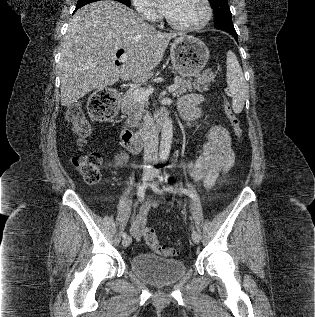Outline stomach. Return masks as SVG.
I'll return each mask as SVG.
<instances>
[{
	"label": "stomach",
	"mask_w": 315,
	"mask_h": 317,
	"mask_svg": "<svg viewBox=\"0 0 315 317\" xmlns=\"http://www.w3.org/2000/svg\"><path fill=\"white\" fill-rule=\"evenodd\" d=\"M173 69L183 78L196 76L209 59V50L198 38L185 35L176 38L170 47Z\"/></svg>",
	"instance_id": "stomach-1"
}]
</instances>
